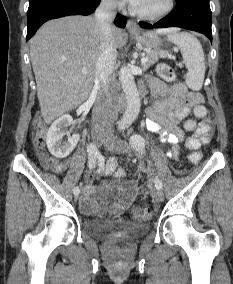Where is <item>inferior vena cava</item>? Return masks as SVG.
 Wrapping results in <instances>:
<instances>
[{
  "label": "inferior vena cava",
  "instance_id": "602c4592",
  "mask_svg": "<svg viewBox=\"0 0 233 284\" xmlns=\"http://www.w3.org/2000/svg\"><path fill=\"white\" fill-rule=\"evenodd\" d=\"M116 8V0H101L95 11V19L100 29V53L95 68L97 100L92 113V126L94 131L106 134H112L114 129L113 99L116 95L110 88V82L117 58L112 27Z\"/></svg>",
  "mask_w": 233,
  "mask_h": 284
}]
</instances>
